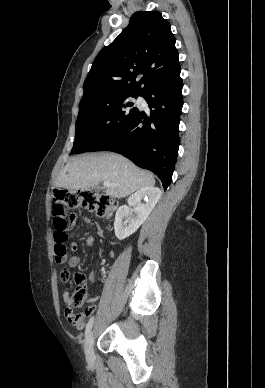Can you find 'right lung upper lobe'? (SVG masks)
Segmentation results:
<instances>
[{
	"label": "right lung upper lobe",
	"mask_w": 265,
	"mask_h": 388,
	"mask_svg": "<svg viewBox=\"0 0 265 388\" xmlns=\"http://www.w3.org/2000/svg\"><path fill=\"white\" fill-rule=\"evenodd\" d=\"M175 41L160 12L134 13L129 25L93 62L83 98L104 90L140 95L149 86L177 76L181 68Z\"/></svg>",
	"instance_id": "right-lung-upper-lobe-1"
}]
</instances>
